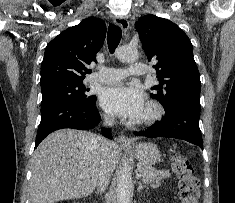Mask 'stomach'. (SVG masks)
<instances>
[{
    "mask_svg": "<svg viewBox=\"0 0 235 203\" xmlns=\"http://www.w3.org/2000/svg\"><path fill=\"white\" fill-rule=\"evenodd\" d=\"M136 156L140 164L153 165L160 160L157 146L150 142L136 143L133 148H123Z\"/></svg>",
    "mask_w": 235,
    "mask_h": 203,
    "instance_id": "obj_1",
    "label": "stomach"
}]
</instances>
